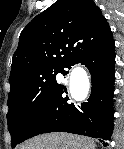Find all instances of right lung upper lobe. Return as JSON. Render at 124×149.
I'll list each match as a JSON object with an SVG mask.
<instances>
[{"label": "right lung upper lobe", "instance_id": "1", "mask_svg": "<svg viewBox=\"0 0 124 149\" xmlns=\"http://www.w3.org/2000/svg\"><path fill=\"white\" fill-rule=\"evenodd\" d=\"M111 38L108 22L93 0H57L21 32L10 86L43 69L65 68Z\"/></svg>", "mask_w": 124, "mask_h": 149}]
</instances>
